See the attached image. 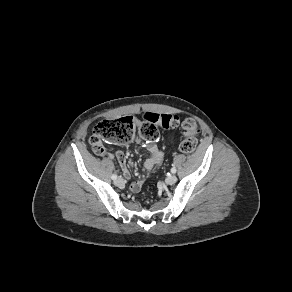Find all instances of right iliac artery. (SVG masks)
Returning <instances> with one entry per match:
<instances>
[{
  "label": "right iliac artery",
  "instance_id": "82829eb1",
  "mask_svg": "<svg viewBox=\"0 0 292 292\" xmlns=\"http://www.w3.org/2000/svg\"><path fill=\"white\" fill-rule=\"evenodd\" d=\"M111 178H112L113 180H116V179H117V176H116L115 174H113V175L111 176Z\"/></svg>",
  "mask_w": 292,
  "mask_h": 292
}]
</instances>
